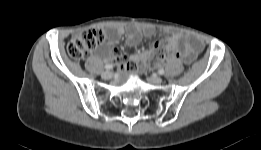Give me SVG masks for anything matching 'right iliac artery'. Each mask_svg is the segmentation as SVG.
<instances>
[{"mask_svg":"<svg viewBox=\"0 0 261 150\" xmlns=\"http://www.w3.org/2000/svg\"><path fill=\"white\" fill-rule=\"evenodd\" d=\"M112 68H113V65H111V64L105 65V69H106V70H110V69H112Z\"/></svg>","mask_w":261,"mask_h":150,"instance_id":"obj_1","label":"right iliac artery"}]
</instances>
